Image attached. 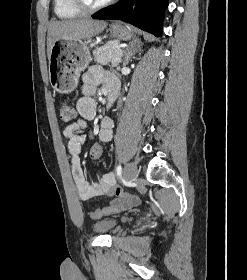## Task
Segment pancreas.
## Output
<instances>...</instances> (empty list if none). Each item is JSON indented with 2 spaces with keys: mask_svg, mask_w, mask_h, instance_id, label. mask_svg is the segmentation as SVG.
Masks as SVG:
<instances>
[{
  "mask_svg": "<svg viewBox=\"0 0 247 280\" xmlns=\"http://www.w3.org/2000/svg\"><path fill=\"white\" fill-rule=\"evenodd\" d=\"M123 51L118 48L115 42L107 43L104 46L97 48L94 52V60L101 65H110L119 69V62H114V59L119 57V54Z\"/></svg>",
  "mask_w": 247,
  "mask_h": 280,
  "instance_id": "pancreas-1",
  "label": "pancreas"
}]
</instances>
